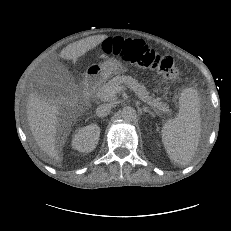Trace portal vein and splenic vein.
Wrapping results in <instances>:
<instances>
[{
    "label": "portal vein and splenic vein",
    "instance_id": "obj_1",
    "mask_svg": "<svg viewBox=\"0 0 231 231\" xmlns=\"http://www.w3.org/2000/svg\"><path fill=\"white\" fill-rule=\"evenodd\" d=\"M125 87L124 86H114L110 89L107 90V93L105 95V98H110V97H114L115 94H117L118 92L124 90Z\"/></svg>",
    "mask_w": 231,
    "mask_h": 231
}]
</instances>
